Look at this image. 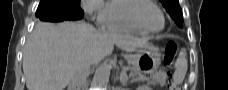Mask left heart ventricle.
Segmentation results:
<instances>
[{"label": "left heart ventricle", "instance_id": "1", "mask_svg": "<svg viewBox=\"0 0 228 90\" xmlns=\"http://www.w3.org/2000/svg\"><path fill=\"white\" fill-rule=\"evenodd\" d=\"M140 18L145 26L152 30H157L162 27V17L159 11L151 5H146L141 9Z\"/></svg>", "mask_w": 228, "mask_h": 90}]
</instances>
